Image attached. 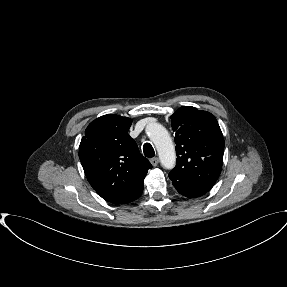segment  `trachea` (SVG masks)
Segmentation results:
<instances>
[{
    "instance_id": "obj_1",
    "label": "trachea",
    "mask_w": 287,
    "mask_h": 287,
    "mask_svg": "<svg viewBox=\"0 0 287 287\" xmlns=\"http://www.w3.org/2000/svg\"><path fill=\"white\" fill-rule=\"evenodd\" d=\"M144 155L148 158H152L155 156V151L150 143H145L143 145Z\"/></svg>"
}]
</instances>
